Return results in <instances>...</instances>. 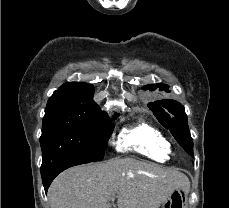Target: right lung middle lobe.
Returning a JSON list of instances; mask_svg holds the SVG:
<instances>
[{
	"label": "right lung middle lobe",
	"instance_id": "right-lung-middle-lobe-1",
	"mask_svg": "<svg viewBox=\"0 0 229 208\" xmlns=\"http://www.w3.org/2000/svg\"><path fill=\"white\" fill-rule=\"evenodd\" d=\"M113 128L110 121L74 108L47 106L40 137L41 170L63 158L101 161Z\"/></svg>",
	"mask_w": 229,
	"mask_h": 208
}]
</instances>
